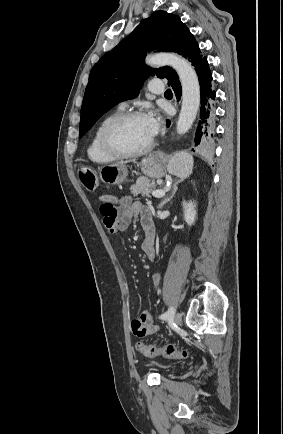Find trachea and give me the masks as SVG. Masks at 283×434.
Returning <instances> with one entry per match:
<instances>
[{
	"label": "trachea",
	"mask_w": 283,
	"mask_h": 434,
	"mask_svg": "<svg viewBox=\"0 0 283 434\" xmlns=\"http://www.w3.org/2000/svg\"><path fill=\"white\" fill-rule=\"evenodd\" d=\"M169 94H172V91H171L170 89H167V90L165 91V95H169Z\"/></svg>",
	"instance_id": "3493384b"
}]
</instances>
